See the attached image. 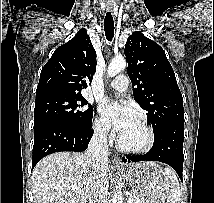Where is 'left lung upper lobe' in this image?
<instances>
[{"mask_svg": "<svg viewBox=\"0 0 214 203\" xmlns=\"http://www.w3.org/2000/svg\"><path fill=\"white\" fill-rule=\"evenodd\" d=\"M124 53L135 101L147 111L154 135L170 123H184L183 98L176 77L161 46L133 32Z\"/></svg>", "mask_w": 214, "mask_h": 203, "instance_id": "left-lung-upper-lobe-1", "label": "left lung upper lobe"}]
</instances>
